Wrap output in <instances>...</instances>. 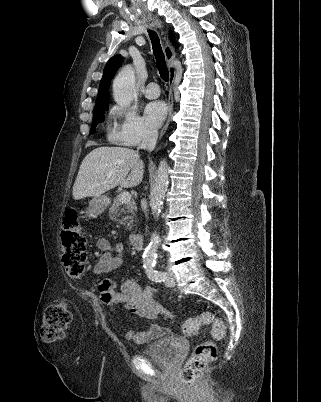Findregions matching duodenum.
<instances>
[{"mask_svg":"<svg viewBox=\"0 0 321 402\" xmlns=\"http://www.w3.org/2000/svg\"><path fill=\"white\" fill-rule=\"evenodd\" d=\"M128 242L132 249L141 250L143 246V237L141 233H131L128 237Z\"/></svg>","mask_w":321,"mask_h":402,"instance_id":"obj_1","label":"duodenum"}]
</instances>
